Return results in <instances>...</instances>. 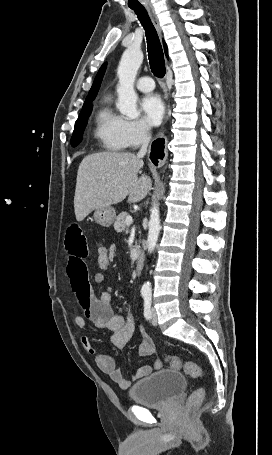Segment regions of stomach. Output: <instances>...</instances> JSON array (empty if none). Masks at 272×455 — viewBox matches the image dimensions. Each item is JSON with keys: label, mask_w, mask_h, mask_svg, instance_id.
I'll return each mask as SVG.
<instances>
[{"label": "stomach", "mask_w": 272, "mask_h": 455, "mask_svg": "<svg viewBox=\"0 0 272 455\" xmlns=\"http://www.w3.org/2000/svg\"><path fill=\"white\" fill-rule=\"evenodd\" d=\"M93 217L101 226L109 227L115 220L116 212L111 206L99 208L94 211Z\"/></svg>", "instance_id": "obj_1"}]
</instances>
